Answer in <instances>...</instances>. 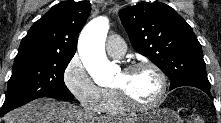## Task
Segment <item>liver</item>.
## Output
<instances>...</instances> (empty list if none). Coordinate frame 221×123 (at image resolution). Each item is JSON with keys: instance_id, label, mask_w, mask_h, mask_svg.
I'll return each instance as SVG.
<instances>
[{"instance_id": "1", "label": "liver", "mask_w": 221, "mask_h": 123, "mask_svg": "<svg viewBox=\"0 0 221 123\" xmlns=\"http://www.w3.org/2000/svg\"><path fill=\"white\" fill-rule=\"evenodd\" d=\"M5 123H133V119L113 120L87 112L66 102L43 98L4 116Z\"/></svg>"}]
</instances>
